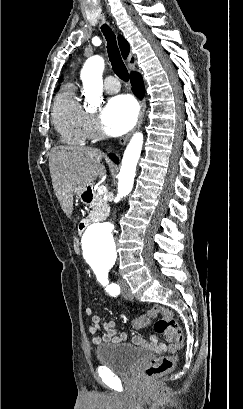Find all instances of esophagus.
<instances>
[{
    "label": "esophagus",
    "mask_w": 243,
    "mask_h": 409,
    "mask_svg": "<svg viewBox=\"0 0 243 409\" xmlns=\"http://www.w3.org/2000/svg\"><path fill=\"white\" fill-rule=\"evenodd\" d=\"M139 103H140V110H139L138 121H137L136 127L134 128V130L131 133H128L125 136H123L122 138H120V140H119L120 145H125L126 142L128 141V139L130 138V136L132 135V133H134L136 130H138L140 128L141 124H142L145 109H146V103H145L144 99H141L139 101Z\"/></svg>",
    "instance_id": "1"
}]
</instances>
